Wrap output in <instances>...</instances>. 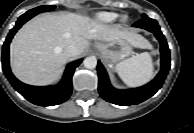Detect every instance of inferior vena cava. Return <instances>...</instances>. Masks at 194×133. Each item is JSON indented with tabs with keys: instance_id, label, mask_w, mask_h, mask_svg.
I'll use <instances>...</instances> for the list:
<instances>
[{
	"instance_id": "inferior-vena-cava-1",
	"label": "inferior vena cava",
	"mask_w": 194,
	"mask_h": 133,
	"mask_svg": "<svg viewBox=\"0 0 194 133\" xmlns=\"http://www.w3.org/2000/svg\"><path fill=\"white\" fill-rule=\"evenodd\" d=\"M65 55L69 58V57H73L76 56L78 54V49L76 46L74 45H69L65 48L64 50Z\"/></svg>"
}]
</instances>
